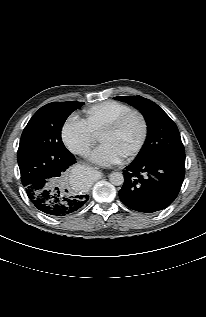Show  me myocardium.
I'll use <instances>...</instances> for the list:
<instances>
[{
  "label": "myocardium",
  "instance_id": "f54148a6",
  "mask_svg": "<svg viewBox=\"0 0 206 317\" xmlns=\"http://www.w3.org/2000/svg\"><path fill=\"white\" fill-rule=\"evenodd\" d=\"M132 116H137L141 121V136L138 143L124 156V158H132L143 149L149 134V125L146 116L140 110L131 109L110 121L100 133H110L118 130Z\"/></svg>",
  "mask_w": 206,
  "mask_h": 317
}]
</instances>
